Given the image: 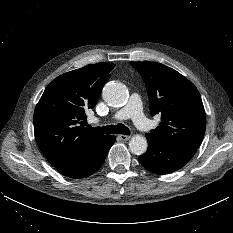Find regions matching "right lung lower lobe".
I'll return each mask as SVG.
<instances>
[{"instance_id": "98d812e1", "label": "right lung lower lobe", "mask_w": 233, "mask_h": 233, "mask_svg": "<svg viewBox=\"0 0 233 233\" xmlns=\"http://www.w3.org/2000/svg\"><path fill=\"white\" fill-rule=\"evenodd\" d=\"M115 140V136L109 135L99 146L71 163L57 167V170L70 178L80 179L90 176L101 167Z\"/></svg>"}]
</instances>
